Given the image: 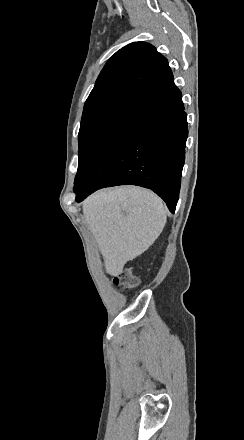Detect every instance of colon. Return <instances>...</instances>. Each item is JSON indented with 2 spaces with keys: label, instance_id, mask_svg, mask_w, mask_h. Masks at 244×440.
I'll return each instance as SVG.
<instances>
[{
  "label": "colon",
  "instance_id": "colon-1",
  "mask_svg": "<svg viewBox=\"0 0 244 440\" xmlns=\"http://www.w3.org/2000/svg\"><path fill=\"white\" fill-rule=\"evenodd\" d=\"M112 283L116 288L121 290H131L138 285L139 278L129 270L114 276Z\"/></svg>",
  "mask_w": 244,
  "mask_h": 440
}]
</instances>
